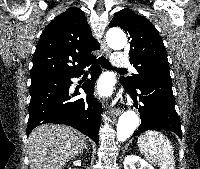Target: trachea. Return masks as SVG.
Returning a JSON list of instances; mask_svg holds the SVG:
<instances>
[{"label": "trachea", "instance_id": "1", "mask_svg": "<svg viewBox=\"0 0 200 169\" xmlns=\"http://www.w3.org/2000/svg\"><path fill=\"white\" fill-rule=\"evenodd\" d=\"M100 65L105 69H111V70H125L124 68H114L110 64V62L103 56L99 58Z\"/></svg>", "mask_w": 200, "mask_h": 169}]
</instances>
